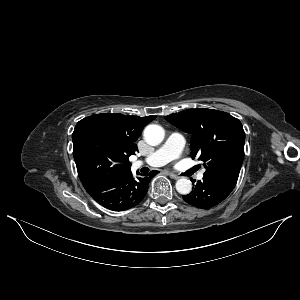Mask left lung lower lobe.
Returning <instances> with one entry per match:
<instances>
[{
	"label": "left lung lower lobe",
	"instance_id": "obj_1",
	"mask_svg": "<svg viewBox=\"0 0 300 300\" xmlns=\"http://www.w3.org/2000/svg\"><path fill=\"white\" fill-rule=\"evenodd\" d=\"M193 191L183 196V199L190 205L197 208L209 209L222 202L233 190L234 186L220 180L203 177V181L194 183Z\"/></svg>",
	"mask_w": 300,
	"mask_h": 300
}]
</instances>
